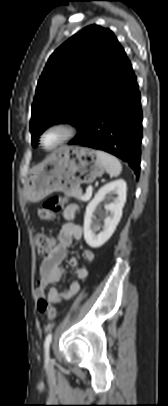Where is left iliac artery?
<instances>
[{
  "label": "left iliac artery",
  "instance_id": "44dca946",
  "mask_svg": "<svg viewBox=\"0 0 168 406\" xmlns=\"http://www.w3.org/2000/svg\"><path fill=\"white\" fill-rule=\"evenodd\" d=\"M51 341H52V333H49V334L46 336L45 342H44V349H45V357H46V360H48V358H49V346H50Z\"/></svg>",
  "mask_w": 168,
  "mask_h": 406
}]
</instances>
